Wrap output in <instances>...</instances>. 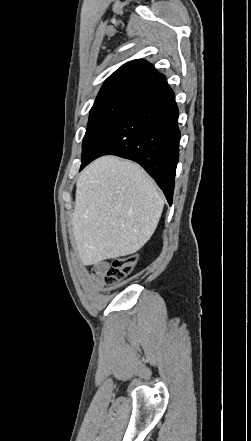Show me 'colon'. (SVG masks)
Returning <instances> with one entry per match:
<instances>
[{
	"mask_svg": "<svg viewBox=\"0 0 251 441\" xmlns=\"http://www.w3.org/2000/svg\"><path fill=\"white\" fill-rule=\"evenodd\" d=\"M137 259L136 254H126L114 258L104 272L103 282L108 286L115 285L132 272Z\"/></svg>",
	"mask_w": 251,
	"mask_h": 441,
	"instance_id": "1",
	"label": "colon"
}]
</instances>
